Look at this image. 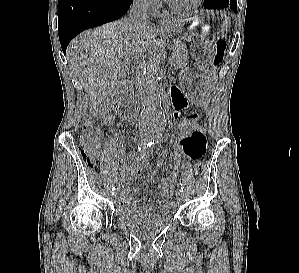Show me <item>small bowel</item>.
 Returning <instances> with one entry per match:
<instances>
[{"label": "small bowel", "mask_w": 299, "mask_h": 273, "mask_svg": "<svg viewBox=\"0 0 299 273\" xmlns=\"http://www.w3.org/2000/svg\"><path fill=\"white\" fill-rule=\"evenodd\" d=\"M172 105L177 113H181L188 107L183 94L177 89H171ZM114 115L109 113L105 117L108 124H113ZM206 137L203 131L198 127L188 137L180 139V149L184 157L196 161L199 160L206 152ZM148 164V156L142 154L132 156L129 163L123 160L118 163V205L119 208L129 214H133L139 218H150L155 212L152 204L146 203L141 207H137L136 196L139 189L137 187H129L127 182L136 179ZM168 169L171 170L168 177L162 182L158 189L149 196V201H158V213H172L175 211V203L172 200L178 178L177 164H169Z\"/></svg>", "instance_id": "c3829d8e"}]
</instances>
